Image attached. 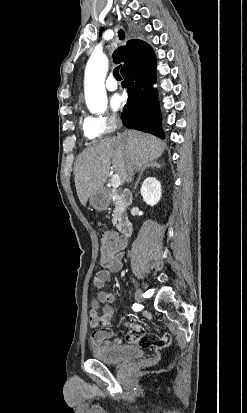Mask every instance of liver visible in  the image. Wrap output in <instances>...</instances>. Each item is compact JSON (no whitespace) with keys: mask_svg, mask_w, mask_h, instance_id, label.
Returning a JSON list of instances; mask_svg holds the SVG:
<instances>
[{"mask_svg":"<svg viewBox=\"0 0 247 413\" xmlns=\"http://www.w3.org/2000/svg\"><path fill=\"white\" fill-rule=\"evenodd\" d=\"M165 146L166 142L153 134L128 128L124 132H118L117 136L101 138L98 142L86 146L78 154L74 168L75 186L83 207L92 192L103 188L109 176L111 162L113 170L118 172L122 182H125L129 162L133 164L134 170H140L144 168V164L161 156Z\"/></svg>","mask_w":247,"mask_h":413,"instance_id":"liver-1","label":"liver"}]
</instances>
